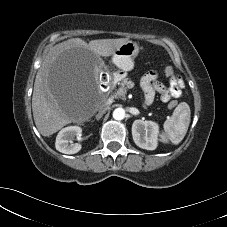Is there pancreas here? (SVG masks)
I'll return each mask as SVG.
<instances>
[{
    "mask_svg": "<svg viewBox=\"0 0 227 227\" xmlns=\"http://www.w3.org/2000/svg\"><path fill=\"white\" fill-rule=\"evenodd\" d=\"M129 83V78H123L119 84V88L116 93L113 95L114 98H124L127 93V85Z\"/></svg>",
    "mask_w": 227,
    "mask_h": 227,
    "instance_id": "cf45deb5",
    "label": "pancreas"
}]
</instances>
